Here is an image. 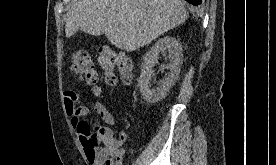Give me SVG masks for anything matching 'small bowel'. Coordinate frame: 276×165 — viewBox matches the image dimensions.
<instances>
[{
	"label": "small bowel",
	"mask_w": 276,
	"mask_h": 165,
	"mask_svg": "<svg viewBox=\"0 0 276 165\" xmlns=\"http://www.w3.org/2000/svg\"><path fill=\"white\" fill-rule=\"evenodd\" d=\"M79 100L80 96L75 91L69 90L64 93L66 112L71 118V124L76 130L89 163L91 165H123L125 155L123 145L127 142V134L120 132L115 136L112 129L115 125V118L104 104L88 99L86 105H80ZM89 107L93 108L106 124L97 126L93 145H89V138L80 129V123L89 115Z\"/></svg>",
	"instance_id": "c3829d8e"
}]
</instances>
